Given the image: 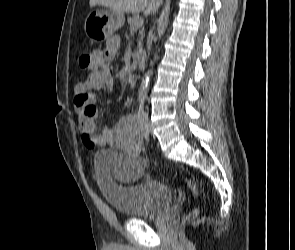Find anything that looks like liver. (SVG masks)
I'll list each match as a JSON object with an SVG mask.
<instances>
[{"instance_id":"liver-1","label":"liver","mask_w":295,"mask_h":250,"mask_svg":"<svg viewBox=\"0 0 295 250\" xmlns=\"http://www.w3.org/2000/svg\"><path fill=\"white\" fill-rule=\"evenodd\" d=\"M90 7L101 5L117 12L139 13L144 11L145 14L155 13L162 0H90Z\"/></svg>"}]
</instances>
